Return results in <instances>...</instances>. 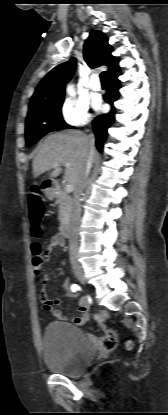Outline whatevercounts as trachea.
Segmentation results:
<instances>
[{"label": "trachea", "instance_id": "1", "mask_svg": "<svg viewBox=\"0 0 168 415\" xmlns=\"http://www.w3.org/2000/svg\"><path fill=\"white\" fill-rule=\"evenodd\" d=\"M100 80H101V82H103V83H107V82H108V79H107V76H106V73H105V72H102V73L100 74Z\"/></svg>", "mask_w": 168, "mask_h": 415}]
</instances>
